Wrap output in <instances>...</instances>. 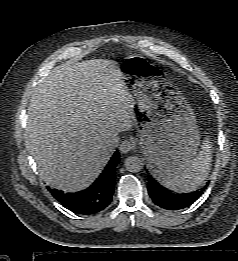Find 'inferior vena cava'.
Returning <instances> with one entry per match:
<instances>
[{
	"instance_id": "1",
	"label": "inferior vena cava",
	"mask_w": 238,
	"mask_h": 261,
	"mask_svg": "<svg viewBox=\"0 0 238 261\" xmlns=\"http://www.w3.org/2000/svg\"><path fill=\"white\" fill-rule=\"evenodd\" d=\"M118 140V138H113L107 141V149L109 152H114L115 148L118 146Z\"/></svg>"
}]
</instances>
